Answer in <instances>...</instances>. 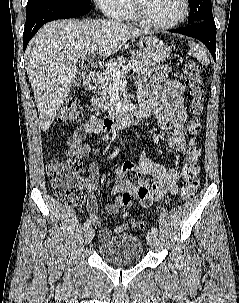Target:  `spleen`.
<instances>
[{
    "label": "spleen",
    "instance_id": "3e777b00",
    "mask_svg": "<svg viewBox=\"0 0 239 303\" xmlns=\"http://www.w3.org/2000/svg\"><path fill=\"white\" fill-rule=\"evenodd\" d=\"M189 47H190V51L192 53V55L202 64V65H209L210 64V60L208 58V53L206 51V49L195 43V42H189Z\"/></svg>",
    "mask_w": 239,
    "mask_h": 303
}]
</instances>
